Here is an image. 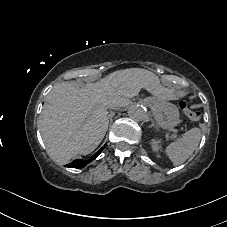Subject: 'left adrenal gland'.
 <instances>
[{"instance_id": "left-adrenal-gland-1", "label": "left adrenal gland", "mask_w": 227, "mask_h": 227, "mask_svg": "<svg viewBox=\"0 0 227 227\" xmlns=\"http://www.w3.org/2000/svg\"><path fill=\"white\" fill-rule=\"evenodd\" d=\"M152 127L156 128V130L159 131V127L155 125L154 121H152Z\"/></svg>"}]
</instances>
